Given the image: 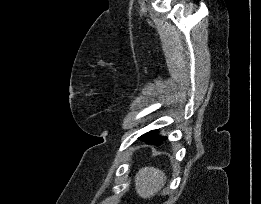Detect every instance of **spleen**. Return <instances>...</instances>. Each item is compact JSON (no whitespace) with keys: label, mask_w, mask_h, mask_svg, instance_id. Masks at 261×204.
Masks as SVG:
<instances>
[{"label":"spleen","mask_w":261,"mask_h":204,"mask_svg":"<svg viewBox=\"0 0 261 204\" xmlns=\"http://www.w3.org/2000/svg\"><path fill=\"white\" fill-rule=\"evenodd\" d=\"M166 182L164 172L155 167H143L135 177V188L137 194L144 198L154 196Z\"/></svg>","instance_id":"1"}]
</instances>
